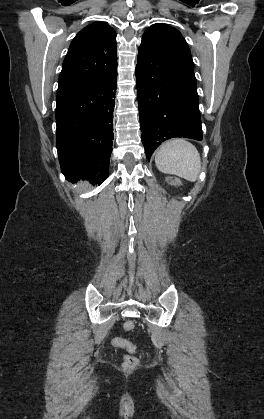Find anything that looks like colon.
<instances>
[{
  "mask_svg": "<svg viewBox=\"0 0 264 419\" xmlns=\"http://www.w3.org/2000/svg\"><path fill=\"white\" fill-rule=\"evenodd\" d=\"M172 182L175 184L178 183L176 179H173ZM124 327L126 331H133L135 329V323L133 321H127ZM114 345L124 348L129 353L124 356L123 367L127 370L134 369L139 363L138 358L134 355L136 346L122 338H116Z\"/></svg>",
  "mask_w": 264,
  "mask_h": 419,
  "instance_id": "5ec220e1",
  "label": "colon"
}]
</instances>
